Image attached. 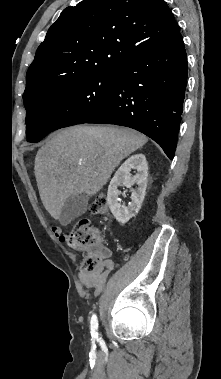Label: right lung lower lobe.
I'll use <instances>...</instances> for the list:
<instances>
[{
  "label": "right lung lower lobe",
  "instance_id": "obj_1",
  "mask_svg": "<svg viewBox=\"0 0 221 379\" xmlns=\"http://www.w3.org/2000/svg\"><path fill=\"white\" fill-rule=\"evenodd\" d=\"M187 85V56L180 32L118 68L110 100L82 123L136 129L174 157Z\"/></svg>",
  "mask_w": 221,
  "mask_h": 379
}]
</instances>
